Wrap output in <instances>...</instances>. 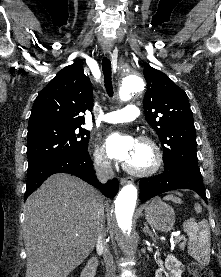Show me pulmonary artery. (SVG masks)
Here are the masks:
<instances>
[{
	"instance_id": "obj_1",
	"label": "pulmonary artery",
	"mask_w": 221,
	"mask_h": 277,
	"mask_svg": "<svg viewBox=\"0 0 221 277\" xmlns=\"http://www.w3.org/2000/svg\"><path fill=\"white\" fill-rule=\"evenodd\" d=\"M140 109L137 105H128L123 109L108 112L103 115L102 120L107 123L131 122L138 119Z\"/></svg>"
}]
</instances>
